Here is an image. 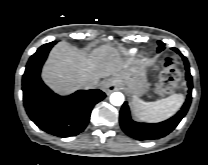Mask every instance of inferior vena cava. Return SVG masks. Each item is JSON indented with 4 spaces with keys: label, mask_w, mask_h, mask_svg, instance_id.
Wrapping results in <instances>:
<instances>
[{
    "label": "inferior vena cava",
    "mask_w": 208,
    "mask_h": 165,
    "mask_svg": "<svg viewBox=\"0 0 208 165\" xmlns=\"http://www.w3.org/2000/svg\"><path fill=\"white\" fill-rule=\"evenodd\" d=\"M99 82L97 80L90 81L85 84V89H94L98 86Z\"/></svg>",
    "instance_id": "obj_1"
}]
</instances>
